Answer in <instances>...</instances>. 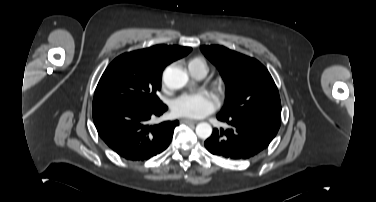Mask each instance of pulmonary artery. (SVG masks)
<instances>
[{"label":"pulmonary artery","mask_w":376,"mask_h":202,"mask_svg":"<svg viewBox=\"0 0 376 202\" xmlns=\"http://www.w3.org/2000/svg\"><path fill=\"white\" fill-rule=\"evenodd\" d=\"M193 76H195L196 78H203L206 74H207V70L205 69H198L194 72H191Z\"/></svg>","instance_id":"obj_1"}]
</instances>
